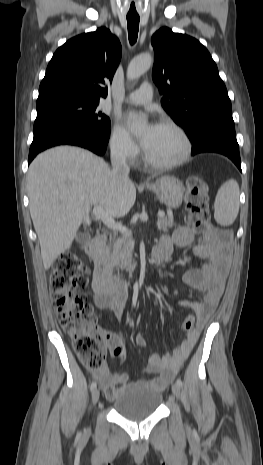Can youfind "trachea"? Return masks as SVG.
<instances>
[{
	"instance_id": "trachea-1",
	"label": "trachea",
	"mask_w": 263,
	"mask_h": 465,
	"mask_svg": "<svg viewBox=\"0 0 263 465\" xmlns=\"http://www.w3.org/2000/svg\"><path fill=\"white\" fill-rule=\"evenodd\" d=\"M139 16H127L128 37L131 45L135 44L139 30Z\"/></svg>"
}]
</instances>
